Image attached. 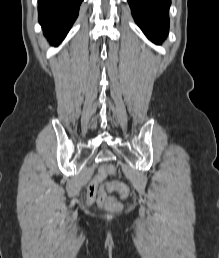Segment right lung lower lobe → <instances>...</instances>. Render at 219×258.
<instances>
[{"mask_svg": "<svg viewBox=\"0 0 219 258\" xmlns=\"http://www.w3.org/2000/svg\"><path fill=\"white\" fill-rule=\"evenodd\" d=\"M83 0H38L39 23L52 44L60 43L78 16Z\"/></svg>", "mask_w": 219, "mask_h": 258, "instance_id": "98d812e1", "label": "right lung lower lobe"}]
</instances>
